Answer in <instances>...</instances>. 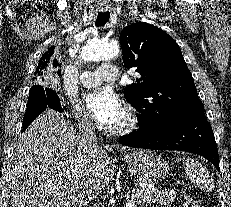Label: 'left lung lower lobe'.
<instances>
[{
	"label": "left lung lower lobe",
	"instance_id": "obj_1",
	"mask_svg": "<svg viewBox=\"0 0 231 207\" xmlns=\"http://www.w3.org/2000/svg\"><path fill=\"white\" fill-rule=\"evenodd\" d=\"M120 142L136 148L195 153L208 159L220 171L214 134L204 113L182 117L159 132L135 131L122 136Z\"/></svg>",
	"mask_w": 231,
	"mask_h": 207
}]
</instances>
